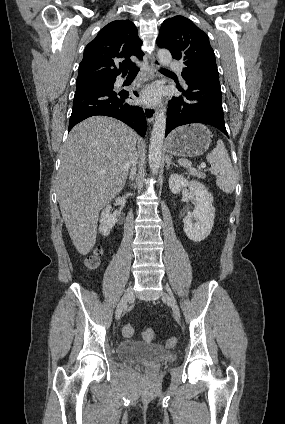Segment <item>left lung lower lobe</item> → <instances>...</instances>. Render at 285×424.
<instances>
[{
  "label": "left lung lower lobe",
  "mask_w": 285,
  "mask_h": 424,
  "mask_svg": "<svg viewBox=\"0 0 285 424\" xmlns=\"http://www.w3.org/2000/svg\"><path fill=\"white\" fill-rule=\"evenodd\" d=\"M187 91L178 85L183 96L172 97L167 111L165 136L174 128L190 123H204L226 136L219 75L200 73L186 80Z\"/></svg>",
  "instance_id": "1"
}]
</instances>
